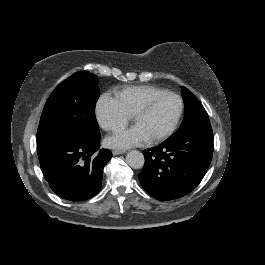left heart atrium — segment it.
I'll return each mask as SVG.
<instances>
[{
    "instance_id": "39dd6f15",
    "label": "left heart atrium",
    "mask_w": 265,
    "mask_h": 265,
    "mask_svg": "<svg viewBox=\"0 0 265 265\" xmlns=\"http://www.w3.org/2000/svg\"><path fill=\"white\" fill-rule=\"evenodd\" d=\"M150 139L145 130L135 125L132 128L120 130L114 135L108 137L106 142L109 147L115 149H125L133 146L141 145Z\"/></svg>"
}]
</instances>
